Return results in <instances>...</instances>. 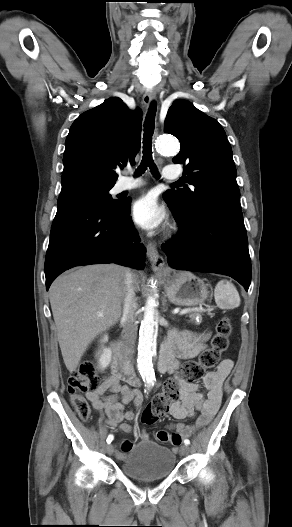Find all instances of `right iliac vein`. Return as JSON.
Segmentation results:
<instances>
[{"label": "right iliac vein", "mask_w": 292, "mask_h": 527, "mask_svg": "<svg viewBox=\"0 0 292 527\" xmlns=\"http://www.w3.org/2000/svg\"><path fill=\"white\" fill-rule=\"evenodd\" d=\"M106 452L109 454V455H112L113 452H114V447L112 444H108L106 445Z\"/></svg>", "instance_id": "63e3f726"}]
</instances>
